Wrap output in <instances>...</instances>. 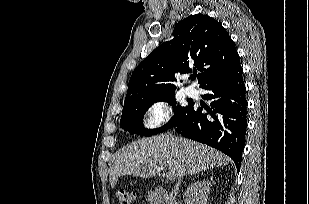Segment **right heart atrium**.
I'll use <instances>...</instances> for the list:
<instances>
[{
    "instance_id": "1",
    "label": "right heart atrium",
    "mask_w": 309,
    "mask_h": 204,
    "mask_svg": "<svg viewBox=\"0 0 309 204\" xmlns=\"http://www.w3.org/2000/svg\"><path fill=\"white\" fill-rule=\"evenodd\" d=\"M170 106L163 100L151 102L146 109L145 126L156 128L165 123L170 116Z\"/></svg>"
}]
</instances>
